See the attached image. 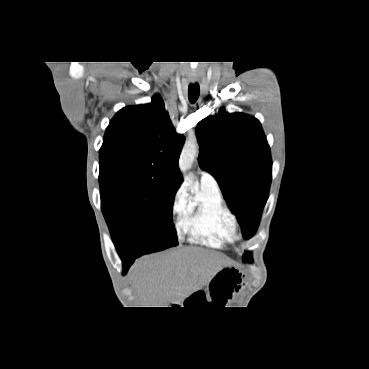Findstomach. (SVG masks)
Instances as JSON below:
<instances>
[{"instance_id":"1","label":"stomach","mask_w":369,"mask_h":369,"mask_svg":"<svg viewBox=\"0 0 369 369\" xmlns=\"http://www.w3.org/2000/svg\"><path fill=\"white\" fill-rule=\"evenodd\" d=\"M243 286L244 274L235 266H224L211 278L205 293L227 305Z\"/></svg>"}]
</instances>
